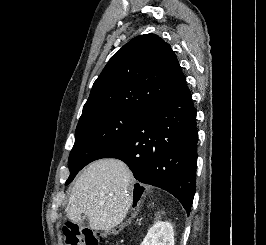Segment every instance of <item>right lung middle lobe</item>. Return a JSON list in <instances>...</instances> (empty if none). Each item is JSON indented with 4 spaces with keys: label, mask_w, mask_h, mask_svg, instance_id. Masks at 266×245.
<instances>
[{
    "label": "right lung middle lobe",
    "mask_w": 266,
    "mask_h": 245,
    "mask_svg": "<svg viewBox=\"0 0 266 245\" xmlns=\"http://www.w3.org/2000/svg\"><path fill=\"white\" fill-rule=\"evenodd\" d=\"M143 115L144 112L107 109L81 117L69 156L70 176L65 184L72 182L84 166L123 139Z\"/></svg>",
    "instance_id": "right-lung-middle-lobe-1"
}]
</instances>
